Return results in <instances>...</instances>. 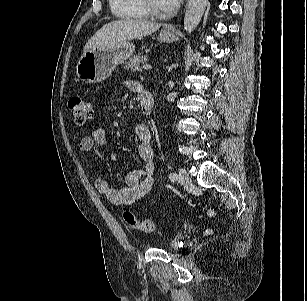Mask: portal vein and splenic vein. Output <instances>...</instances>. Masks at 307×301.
<instances>
[{"label":"portal vein and splenic vein","instance_id":"obj_1","mask_svg":"<svg viewBox=\"0 0 307 301\" xmlns=\"http://www.w3.org/2000/svg\"><path fill=\"white\" fill-rule=\"evenodd\" d=\"M143 68H144L145 70H151V69H152V66L149 65V64H146V65L143 66Z\"/></svg>","mask_w":307,"mask_h":301}]
</instances>
